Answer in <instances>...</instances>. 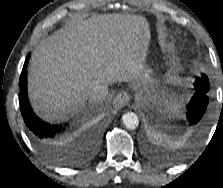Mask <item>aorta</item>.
<instances>
[{
	"instance_id": "aorta-1",
	"label": "aorta",
	"mask_w": 223,
	"mask_h": 188,
	"mask_svg": "<svg viewBox=\"0 0 223 188\" xmlns=\"http://www.w3.org/2000/svg\"><path fill=\"white\" fill-rule=\"evenodd\" d=\"M123 123L127 129H136L139 125V119L137 115L133 112L125 113L122 116Z\"/></svg>"
}]
</instances>
